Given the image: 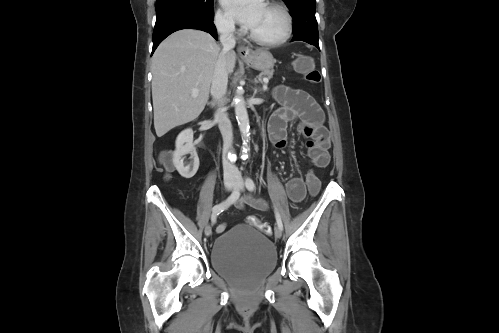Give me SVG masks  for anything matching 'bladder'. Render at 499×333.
Masks as SVG:
<instances>
[{
	"label": "bladder",
	"instance_id": "bladder-1",
	"mask_svg": "<svg viewBox=\"0 0 499 333\" xmlns=\"http://www.w3.org/2000/svg\"><path fill=\"white\" fill-rule=\"evenodd\" d=\"M213 269L241 288L260 284L277 266L273 243L257 228L235 224L216 239L210 253Z\"/></svg>",
	"mask_w": 499,
	"mask_h": 333
}]
</instances>
